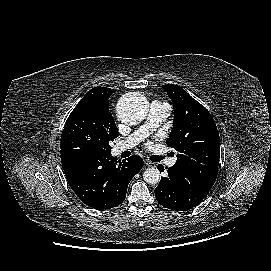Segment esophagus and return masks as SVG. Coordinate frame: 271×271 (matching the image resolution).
<instances>
[{
  "label": "esophagus",
  "mask_w": 271,
  "mask_h": 271,
  "mask_svg": "<svg viewBox=\"0 0 271 271\" xmlns=\"http://www.w3.org/2000/svg\"><path fill=\"white\" fill-rule=\"evenodd\" d=\"M144 164L146 165V166H148V167H152V166H154V163L153 162H151V161H149V160H144Z\"/></svg>",
  "instance_id": "34e87169"
}]
</instances>
